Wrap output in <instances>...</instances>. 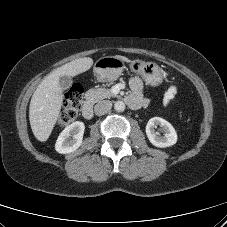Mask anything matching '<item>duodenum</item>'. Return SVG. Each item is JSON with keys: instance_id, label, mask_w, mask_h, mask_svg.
<instances>
[{"instance_id": "1", "label": "duodenum", "mask_w": 227, "mask_h": 227, "mask_svg": "<svg viewBox=\"0 0 227 227\" xmlns=\"http://www.w3.org/2000/svg\"><path fill=\"white\" fill-rule=\"evenodd\" d=\"M82 115L85 119H91L93 117V107L90 102H85L82 109Z\"/></svg>"}]
</instances>
